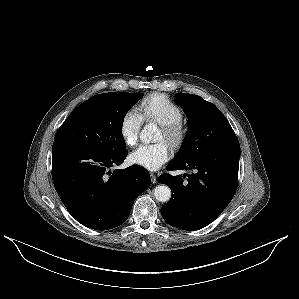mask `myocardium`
<instances>
[{
	"label": "myocardium",
	"mask_w": 299,
	"mask_h": 299,
	"mask_svg": "<svg viewBox=\"0 0 299 299\" xmlns=\"http://www.w3.org/2000/svg\"><path fill=\"white\" fill-rule=\"evenodd\" d=\"M161 129L164 132V139L173 147H179L187 134L186 126L182 121L173 123L161 124Z\"/></svg>",
	"instance_id": "1"
}]
</instances>
